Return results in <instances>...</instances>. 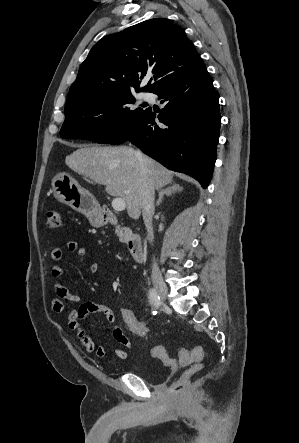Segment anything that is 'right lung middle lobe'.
Listing matches in <instances>:
<instances>
[{
    "label": "right lung middle lobe",
    "instance_id": "obj_1",
    "mask_svg": "<svg viewBox=\"0 0 299 443\" xmlns=\"http://www.w3.org/2000/svg\"><path fill=\"white\" fill-rule=\"evenodd\" d=\"M134 93L103 96L65 107L60 136L108 143L148 109L135 108Z\"/></svg>",
    "mask_w": 299,
    "mask_h": 443
}]
</instances>
